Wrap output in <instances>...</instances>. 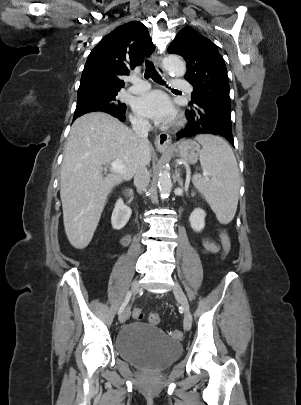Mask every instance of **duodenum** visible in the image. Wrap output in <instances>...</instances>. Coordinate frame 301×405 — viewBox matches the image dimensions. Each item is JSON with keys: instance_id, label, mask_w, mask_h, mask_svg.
Returning <instances> with one entry per match:
<instances>
[{"instance_id": "duodenum-1", "label": "duodenum", "mask_w": 301, "mask_h": 405, "mask_svg": "<svg viewBox=\"0 0 301 405\" xmlns=\"http://www.w3.org/2000/svg\"><path fill=\"white\" fill-rule=\"evenodd\" d=\"M124 196L128 201H132V199H133V195H132L130 190H125L124 191Z\"/></svg>"}]
</instances>
